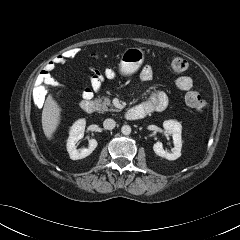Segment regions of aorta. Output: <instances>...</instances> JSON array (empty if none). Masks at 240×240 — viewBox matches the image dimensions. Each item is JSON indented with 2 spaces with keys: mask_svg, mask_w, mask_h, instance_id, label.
Here are the masks:
<instances>
[{
  "mask_svg": "<svg viewBox=\"0 0 240 240\" xmlns=\"http://www.w3.org/2000/svg\"><path fill=\"white\" fill-rule=\"evenodd\" d=\"M121 132L124 135H129L131 133V127L129 125H123L121 128Z\"/></svg>",
  "mask_w": 240,
  "mask_h": 240,
  "instance_id": "1",
  "label": "aorta"
}]
</instances>
